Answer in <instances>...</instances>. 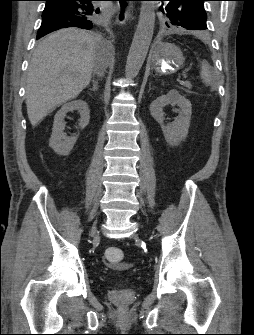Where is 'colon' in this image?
Instances as JSON below:
<instances>
[{
    "instance_id": "1",
    "label": "colon",
    "mask_w": 254,
    "mask_h": 335,
    "mask_svg": "<svg viewBox=\"0 0 254 335\" xmlns=\"http://www.w3.org/2000/svg\"><path fill=\"white\" fill-rule=\"evenodd\" d=\"M105 260L112 265H119L124 260V252L117 247H109L105 250Z\"/></svg>"
}]
</instances>
